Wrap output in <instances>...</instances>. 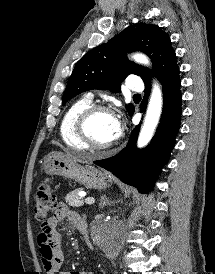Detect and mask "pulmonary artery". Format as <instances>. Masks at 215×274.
I'll return each mask as SVG.
<instances>
[{
    "mask_svg": "<svg viewBox=\"0 0 215 274\" xmlns=\"http://www.w3.org/2000/svg\"><path fill=\"white\" fill-rule=\"evenodd\" d=\"M126 87L131 91L140 92L143 90L142 81L137 77H130L126 81Z\"/></svg>",
    "mask_w": 215,
    "mask_h": 274,
    "instance_id": "1",
    "label": "pulmonary artery"
}]
</instances>
